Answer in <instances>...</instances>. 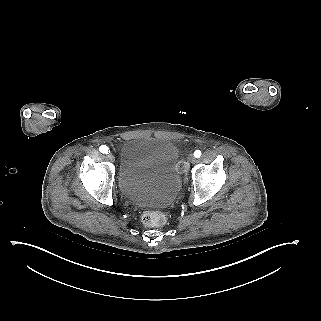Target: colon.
<instances>
[{
	"label": "colon",
	"mask_w": 321,
	"mask_h": 321,
	"mask_svg": "<svg viewBox=\"0 0 321 321\" xmlns=\"http://www.w3.org/2000/svg\"><path fill=\"white\" fill-rule=\"evenodd\" d=\"M180 171H186V164L184 162H180ZM166 218V213L157 210L146 211L141 215L142 223L147 226H161L165 223Z\"/></svg>",
	"instance_id": "1"
}]
</instances>
